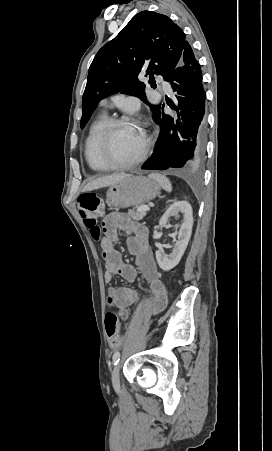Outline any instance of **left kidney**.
Returning a JSON list of instances; mask_svg holds the SVG:
<instances>
[{
	"label": "left kidney",
	"mask_w": 272,
	"mask_h": 451,
	"mask_svg": "<svg viewBox=\"0 0 272 451\" xmlns=\"http://www.w3.org/2000/svg\"><path fill=\"white\" fill-rule=\"evenodd\" d=\"M179 212L183 214V224L179 229L178 241L174 243L171 253H162L160 249L155 251L158 265L161 269H165V271L172 269V267H175V265L179 263L192 233L193 210L189 202H185V200L184 202H174V204L166 210L162 218H160L159 226L168 224L171 216H177V218H179Z\"/></svg>",
	"instance_id": "1"
}]
</instances>
